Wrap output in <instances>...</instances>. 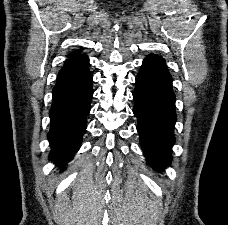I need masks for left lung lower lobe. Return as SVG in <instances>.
<instances>
[{
    "instance_id": "0a47b994",
    "label": "left lung lower lobe",
    "mask_w": 228,
    "mask_h": 225,
    "mask_svg": "<svg viewBox=\"0 0 228 225\" xmlns=\"http://www.w3.org/2000/svg\"><path fill=\"white\" fill-rule=\"evenodd\" d=\"M133 99L144 155L153 168L162 170L172 159L177 119L172 77L162 57L151 54L144 59L136 76Z\"/></svg>"
}]
</instances>
